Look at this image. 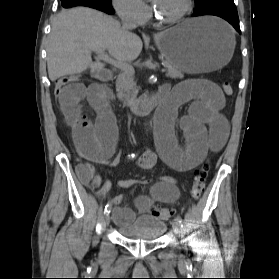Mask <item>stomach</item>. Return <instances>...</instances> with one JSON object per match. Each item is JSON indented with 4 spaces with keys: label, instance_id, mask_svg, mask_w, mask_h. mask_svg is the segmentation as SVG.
<instances>
[{
    "label": "stomach",
    "instance_id": "stomach-1",
    "mask_svg": "<svg viewBox=\"0 0 279 279\" xmlns=\"http://www.w3.org/2000/svg\"><path fill=\"white\" fill-rule=\"evenodd\" d=\"M156 45L174 67L197 74L224 69L233 55L235 38L224 22L200 17L159 33Z\"/></svg>",
    "mask_w": 279,
    "mask_h": 279
}]
</instances>
